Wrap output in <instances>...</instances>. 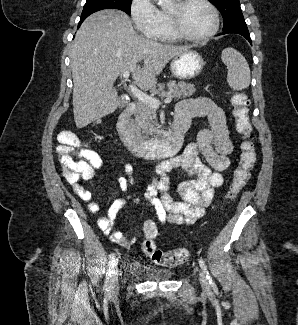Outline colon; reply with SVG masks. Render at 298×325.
Instances as JSON below:
<instances>
[{"instance_id":"1","label":"colon","mask_w":298,"mask_h":325,"mask_svg":"<svg viewBox=\"0 0 298 325\" xmlns=\"http://www.w3.org/2000/svg\"><path fill=\"white\" fill-rule=\"evenodd\" d=\"M231 103L236 130L242 138L239 163L233 172L228 192L229 198L233 199L250 179L256 163V148L252 138L248 98L244 94L238 93L231 98ZM57 154L62 165L63 177L71 185L91 178L101 166L98 155L94 151L82 147L79 138L71 132H62L59 135ZM157 235L158 228L155 222L146 221L141 248L155 263L166 267H174L188 260L189 252L186 249L180 248L170 251L159 249L155 243Z\"/></svg>"}]
</instances>
